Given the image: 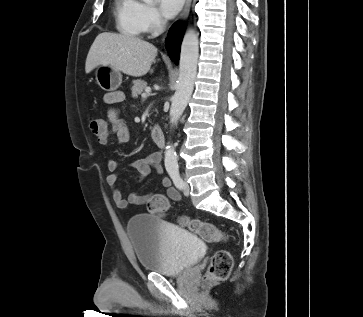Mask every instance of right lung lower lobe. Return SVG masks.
<instances>
[{
	"mask_svg": "<svg viewBox=\"0 0 363 317\" xmlns=\"http://www.w3.org/2000/svg\"><path fill=\"white\" fill-rule=\"evenodd\" d=\"M184 33V25L175 23L168 32L166 38L167 49L170 52V57L173 61H177L180 52V45Z\"/></svg>",
	"mask_w": 363,
	"mask_h": 317,
	"instance_id": "obj_1",
	"label": "right lung lower lobe"
}]
</instances>
